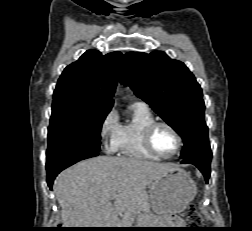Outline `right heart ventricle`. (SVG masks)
<instances>
[{"instance_id":"obj_1","label":"right heart ventricle","mask_w":252,"mask_h":231,"mask_svg":"<svg viewBox=\"0 0 252 231\" xmlns=\"http://www.w3.org/2000/svg\"><path fill=\"white\" fill-rule=\"evenodd\" d=\"M155 121L147 106L133 105L132 117L120 125L115 141V151L120 155L144 160H158L144 146L143 133L145 128Z\"/></svg>"}]
</instances>
